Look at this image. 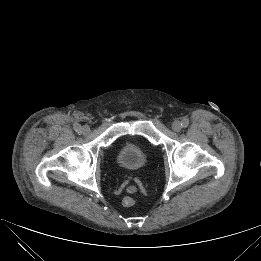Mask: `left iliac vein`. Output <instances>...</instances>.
I'll use <instances>...</instances> for the list:
<instances>
[{"instance_id": "1", "label": "left iliac vein", "mask_w": 261, "mask_h": 261, "mask_svg": "<svg viewBox=\"0 0 261 261\" xmlns=\"http://www.w3.org/2000/svg\"><path fill=\"white\" fill-rule=\"evenodd\" d=\"M172 129H173L175 132H179V131L182 129L181 122L178 121V120L173 121V123H172Z\"/></svg>"}]
</instances>
